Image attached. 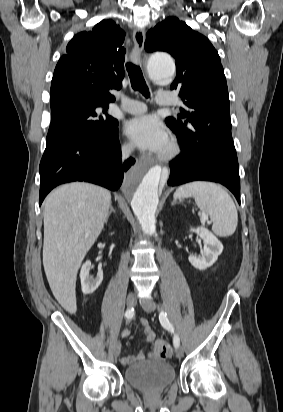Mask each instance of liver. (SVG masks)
<instances>
[{
	"instance_id": "6515ba94",
	"label": "liver",
	"mask_w": 283,
	"mask_h": 412,
	"mask_svg": "<svg viewBox=\"0 0 283 412\" xmlns=\"http://www.w3.org/2000/svg\"><path fill=\"white\" fill-rule=\"evenodd\" d=\"M111 203L108 190L75 182L62 185L44 201L43 266L52 293L68 312H76V277L99 237Z\"/></svg>"
}]
</instances>
